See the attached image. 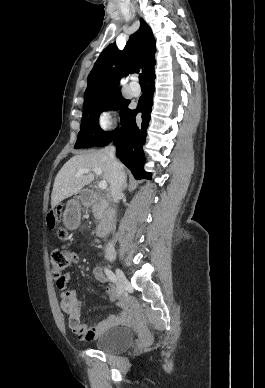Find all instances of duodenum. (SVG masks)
<instances>
[{"mask_svg": "<svg viewBox=\"0 0 265 388\" xmlns=\"http://www.w3.org/2000/svg\"><path fill=\"white\" fill-rule=\"evenodd\" d=\"M78 198L83 205H92L98 202L99 200L105 199L107 197L100 195L94 190L86 189L79 193ZM114 221H115V212L113 209H108L98 224V227L96 230L97 235L100 237L105 236L110 231L111 227L114 224Z\"/></svg>", "mask_w": 265, "mask_h": 388, "instance_id": "1", "label": "duodenum"}]
</instances>
